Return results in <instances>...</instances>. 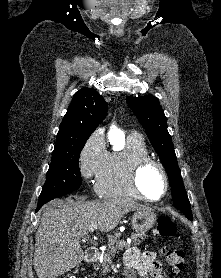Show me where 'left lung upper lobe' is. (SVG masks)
<instances>
[{"instance_id":"obj_1","label":"left lung upper lobe","mask_w":221,"mask_h":278,"mask_svg":"<svg viewBox=\"0 0 221 278\" xmlns=\"http://www.w3.org/2000/svg\"><path fill=\"white\" fill-rule=\"evenodd\" d=\"M131 110L146 130L153 148L157 151L162 164L167 171L173 204L183 212H191L190 202L185 192L181 172L178 167L171 136L167 131V120L154 96L126 97Z\"/></svg>"}]
</instances>
